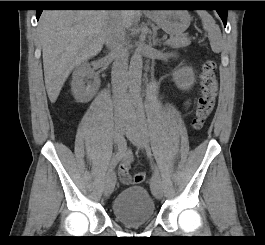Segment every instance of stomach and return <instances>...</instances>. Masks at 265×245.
I'll use <instances>...</instances> for the list:
<instances>
[{
    "mask_svg": "<svg viewBox=\"0 0 265 245\" xmlns=\"http://www.w3.org/2000/svg\"><path fill=\"white\" fill-rule=\"evenodd\" d=\"M151 19L165 32L180 36L190 25V15L186 10H157Z\"/></svg>",
    "mask_w": 265,
    "mask_h": 245,
    "instance_id": "1",
    "label": "stomach"
}]
</instances>
